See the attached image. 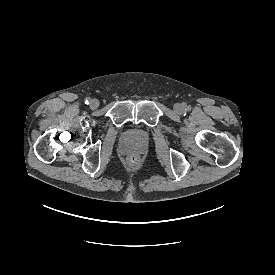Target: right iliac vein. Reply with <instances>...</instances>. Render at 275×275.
Returning a JSON list of instances; mask_svg holds the SVG:
<instances>
[{
	"label": "right iliac vein",
	"mask_w": 275,
	"mask_h": 275,
	"mask_svg": "<svg viewBox=\"0 0 275 275\" xmlns=\"http://www.w3.org/2000/svg\"><path fill=\"white\" fill-rule=\"evenodd\" d=\"M98 106H99L98 100L94 99V100H92V101L90 102V107H91L92 109H96Z\"/></svg>",
	"instance_id": "1"
}]
</instances>
